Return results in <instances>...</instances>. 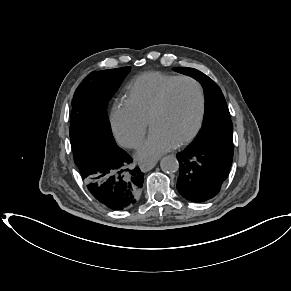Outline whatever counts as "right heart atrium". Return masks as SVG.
I'll list each match as a JSON object with an SVG mask.
<instances>
[{"label": "right heart atrium", "mask_w": 291, "mask_h": 291, "mask_svg": "<svg viewBox=\"0 0 291 291\" xmlns=\"http://www.w3.org/2000/svg\"><path fill=\"white\" fill-rule=\"evenodd\" d=\"M111 126L121 145L136 148L143 140L148 125L133 112L126 102H123L113 108Z\"/></svg>", "instance_id": "obj_1"}]
</instances>
